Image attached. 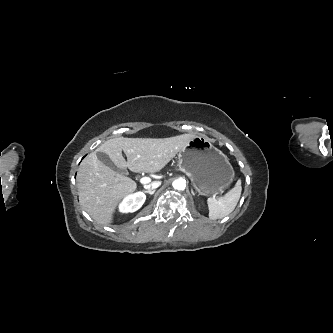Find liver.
Returning a JSON list of instances; mask_svg holds the SVG:
<instances>
[{
	"instance_id": "6515ba94",
	"label": "liver",
	"mask_w": 333,
	"mask_h": 333,
	"mask_svg": "<svg viewBox=\"0 0 333 333\" xmlns=\"http://www.w3.org/2000/svg\"><path fill=\"white\" fill-rule=\"evenodd\" d=\"M194 137L193 134H182L159 139L118 137L107 140L90 153L78 169L77 182L82 207L99 224H110L117 205L137 189L134 180L103 164L97 152L107 154L118 168H128L137 173H156Z\"/></svg>"
}]
</instances>
